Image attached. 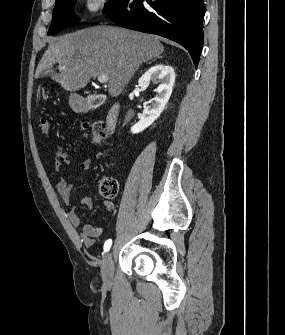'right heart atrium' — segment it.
<instances>
[{"mask_svg": "<svg viewBox=\"0 0 285 335\" xmlns=\"http://www.w3.org/2000/svg\"><path fill=\"white\" fill-rule=\"evenodd\" d=\"M87 8H88L89 10H93L94 8H96V4H94V3H89V4L87 5Z\"/></svg>", "mask_w": 285, "mask_h": 335, "instance_id": "1", "label": "right heart atrium"}]
</instances>
